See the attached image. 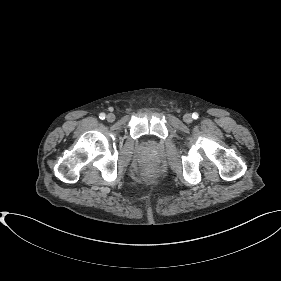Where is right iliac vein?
<instances>
[{"instance_id":"right-iliac-vein-1","label":"right iliac vein","mask_w":281,"mask_h":281,"mask_svg":"<svg viewBox=\"0 0 281 281\" xmlns=\"http://www.w3.org/2000/svg\"><path fill=\"white\" fill-rule=\"evenodd\" d=\"M108 122H113L115 120V115L110 113L106 116Z\"/></svg>"}]
</instances>
